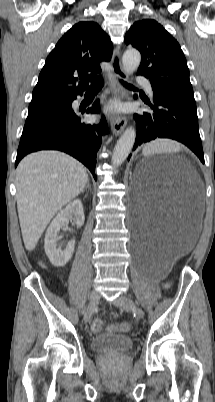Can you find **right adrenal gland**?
<instances>
[{
    "mask_svg": "<svg viewBox=\"0 0 215 402\" xmlns=\"http://www.w3.org/2000/svg\"><path fill=\"white\" fill-rule=\"evenodd\" d=\"M87 189L91 190V186H90V182H89V181H88L87 185L85 186L84 190L82 191V193H84L85 190H87Z\"/></svg>",
    "mask_w": 215,
    "mask_h": 402,
    "instance_id": "right-adrenal-gland-1",
    "label": "right adrenal gland"
}]
</instances>
